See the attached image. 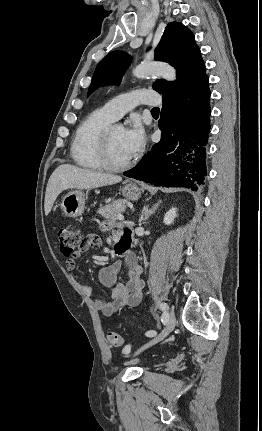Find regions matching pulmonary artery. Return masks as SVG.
<instances>
[{
    "label": "pulmonary artery",
    "instance_id": "obj_1",
    "mask_svg": "<svg viewBox=\"0 0 262 431\" xmlns=\"http://www.w3.org/2000/svg\"><path fill=\"white\" fill-rule=\"evenodd\" d=\"M160 103L158 93L141 88L112 98L103 108L114 120H117L138 105L159 106Z\"/></svg>",
    "mask_w": 262,
    "mask_h": 431
}]
</instances>
